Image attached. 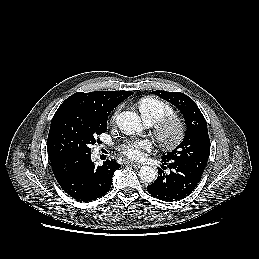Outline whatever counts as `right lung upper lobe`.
Listing matches in <instances>:
<instances>
[{
	"label": "right lung upper lobe",
	"instance_id": "1",
	"mask_svg": "<svg viewBox=\"0 0 259 259\" xmlns=\"http://www.w3.org/2000/svg\"><path fill=\"white\" fill-rule=\"evenodd\" d=\"M130 91H95L90 93L77 92L67 98L60 107L75 106L90 109L96 113L109 116L111 111L123 100L131 96Z\"/></svg>",
	"mask_w": 259,
	"mask_h": 259
}]
</instances>
